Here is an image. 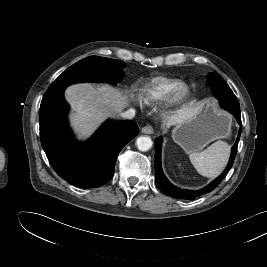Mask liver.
Here are the masks:
<instances>
[{"label": "liver", "mask_w": 267, "mask_h": 267, "mask_svg": "<svg viewBox=\"0 0 267 267\" xmlns=\"http://www.w3.org/2000/svg\"><path fill=\"white\" fill-rule=\"evenodd\" d=\"M73 108L71 125L80 138L89 136L108 116L119 113L127 105V96L109 85L94 87L89 83L76 84L65 91ZM198 107L183 106L168 117V125L177 124L192 116Z\"/></svg>", "instance_id": "1"}]
</instances>
